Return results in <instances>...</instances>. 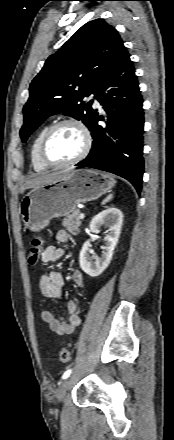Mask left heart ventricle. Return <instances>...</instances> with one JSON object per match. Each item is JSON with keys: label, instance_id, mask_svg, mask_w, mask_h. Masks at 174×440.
<instances>
[{"label": "left heart ventricle", "instance_id": "left-heart-ventricle-1", "mask_svg": "<svg viewBox=\"0 0 174 440\" xmlns=\"http://www.w3.org/2000/svg\"><path fill=\"white\" fill-rule=\"evenodd\" d=\"M83 146V136L73 125H63L51 135L46 155L53 163H64L76 157Z\"/></svg>", "mask_w": 174, "mask_h": 440}]
</instances>
